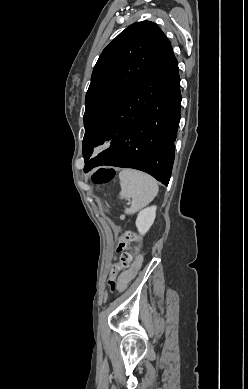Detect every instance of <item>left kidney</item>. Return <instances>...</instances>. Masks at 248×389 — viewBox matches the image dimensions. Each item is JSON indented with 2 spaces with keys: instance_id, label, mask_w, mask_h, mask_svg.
Instances as JSON below:
<instances>
[{
  "instance_id": "obj_1",
  "label": "left kidney",
  "mask_w": 248,
  "mask_h": 389,
  "mask_svg": "<svg viewBox=\"0 0 248 389\" xmlns=\"http://www.w3.org/2000/svg\"><path fill=\"white\" fill-rule=\"evenodd\" d=\"M156 217V206H151L142 210L136 219V227L141 235H145Z\"/></svg>"
}]
</instances>
